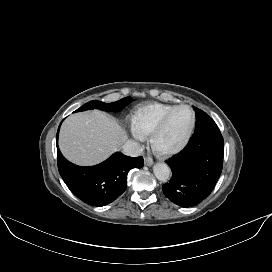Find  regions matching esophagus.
Listing matches in <instances>:
<instances>
[{"mask_svg":"<svg viewBox=\"0 0 272 272\" xmlns=\"http://www.w3.org/2000/svg\"><path fill=\"white\" fill-rule=\"evenodd\" d=\"M144 163H145L146 166H151L153 164V160L150 157H145L144 158Z\"/></svg>","mask_w":272,"mask_h":272,"instance_id":"1","label":"esophagus"}]
</instances>
